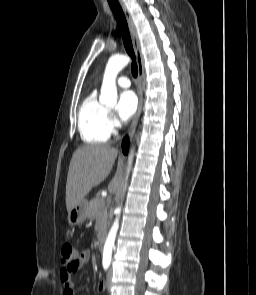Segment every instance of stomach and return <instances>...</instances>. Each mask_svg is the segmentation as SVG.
Returning a JSON list of instances; mask_svg holds the SVG:
<instances>
[{
  "instance_id": "0dacf381",
  "label": "stomach",
  "mask_w": 256,
  "mask_h": 295,
  "mask_svg": "<svg viewBox=\"0 0 256 295\" xmlns=\"http://www.w3.org/2000/svg\"><path fill=\"white\" fill-rule=\"evenodd\" d=\"M87 208H88L87 200H83L79 202L76 206H74L68 212V216H67L68 224L72 227L82 224L87 218Z\"/></svg>"
}]
</instances>
